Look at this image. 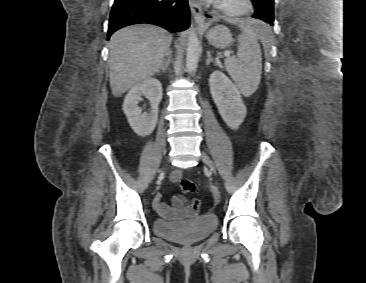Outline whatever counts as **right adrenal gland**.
<instances>
[{"instance_id": "1", "label": "right adrenal gland", "mask_w": 366, "mask_h": 283, "mask_svg": "<svg viewBox=\"0 0 366 283\" xmlns=\"http://www.w3.org/2000/svg\"><path fill=\"white\" fill-rule=\"evenodd\" d=\"M171 58H172V51H169L168 54L166 55V59L162 61L159 68L157 69V73H160V71L164 73L168 69L171 63Z\"/></svg>"}]
</instances>
